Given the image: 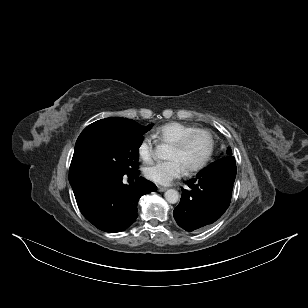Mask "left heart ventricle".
<instances>
[{"mask_svg": "<svg viewBox=\"0 0 308 308\" xmlns=\"http://www.w3.org/2000/svg\"><path fill=\"white\" fill-rule=\"evenodd\" d=\"M209 148V139L205 134L194 136L183 149L170 147L167 158L178 159L188 169L198 164L206 155Z\"/></svg>", "mask_w": 308, "mask_h": 308, "instance_id": "obj_1", "label": "left heart ventricle"}]
</instances>
